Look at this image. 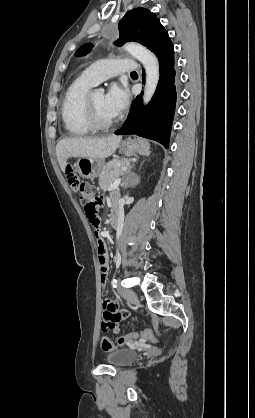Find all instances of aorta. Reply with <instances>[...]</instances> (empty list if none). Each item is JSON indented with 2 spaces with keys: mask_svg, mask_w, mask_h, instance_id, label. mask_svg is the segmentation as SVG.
Returning a JSON list of instances; mask_svg holds the SVG:
<instances>
[{
  "mask_svg": "<svg viewBox=\"0 0 255 418\" xmlns=\"http://www.w3.org/2000/svg\"><path fill=\"white\" fill-rule=\"evenodd\" d=\"M124 49L139 60L146 71V83L144 88L143 102L149 103L153 97L159 81V63L156 56L147 48L136 43H127ZM101 93L104 89H99Z\"/></svg>",
  "mask_w": 255,
  "mask_h": 418,
  "instance_id": "obj_1",
  "label": "aorta"
}]
</instances>
